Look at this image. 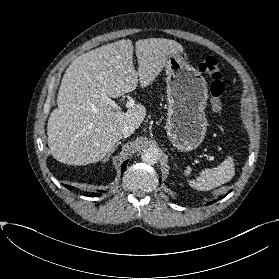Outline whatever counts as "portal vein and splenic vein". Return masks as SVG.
<instances>
[{"instance_id":"1","label":"portal vein and splenic vein","mask_w":279,"mask_h":279,"mask_svg":"<svg viewBox=\"0 0 279 279\" xmlns=\"http://www.w3.org/2000/svg\"><path fill=\"white\" fill-rule=\"evenodd\" d=\"M104 102L106 104H108L111 108H113L114 110H122L121 106L118 105L115 101H113L112 99L108 98V97H104L103 98ZM134 106V100L129 99V101H127L126 103V107L127 108H131Z\"/></svg>"}]
</instances>
